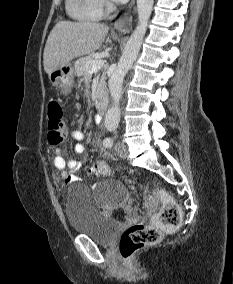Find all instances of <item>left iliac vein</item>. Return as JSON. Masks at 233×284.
<instances>
[{
	"mask_svg": "<svg viewBox=\"0 0 233 284\" xmlns=\"http://www.w3.org/2000/svg\"><path fill=\"white\" fill-rule=\"evenodd\" d=\"M115 151L121 158H127L128 156V147L122 142L116 143Z\"/></svg>",
	"mask_w": 233,
	"mask_h": 284,
	"instance_id": "obj_1",
	"label": "left iliac vein"
}]
</instances>
